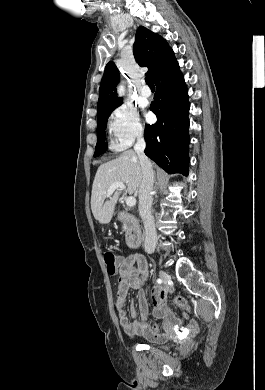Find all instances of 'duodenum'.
Segmentation results:
<instances>
[{
    "mask_svg": "<svg viewBox=\"0 0 265 390\" xmlns=\"http://www.w3.org/2000/svg\"><path fill=\"white\" fill-rule=\"evenodd\" d=\"M117 218L121 223L127 226V247L132 249L140 247L142 243V236L137 229L135 217L127 212H119Z\"/></svg>",
    "mask_w": 265,
    "mask_h": 390,
    "instance_id": "duodenum-1",
    "label": "duodenum"
}]
</instances>
